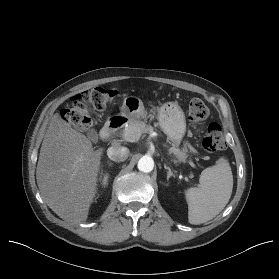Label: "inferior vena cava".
Masks as SVG:
<instances>
[{
    "label": "inferior vena cava",
    "instance_id": "1",
    "mask_svg": "<svg viewBox=\"0 0 279 279\" xmlns=\"http://www.w3.org/2000/svg\"><path fill=\"white\" fill-rule=\"evenodd\" d=\"M107 155L112 161L122 162L128 158L129 150L126 147L111 146L107 150Z\"/></svg>",
    "mask_w": 279,
    "mask_h": 279
}]
</instances>
